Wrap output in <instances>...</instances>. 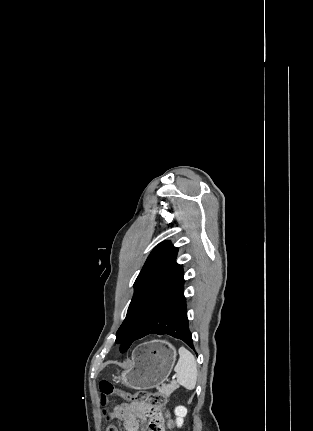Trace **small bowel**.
I'll use <instances>...</instances> for the list:
<instances>
[{"mask_svg": "<svg viewBox=\"0 0 313 431\" xmlns=\"http://www.w3.org/2000/svg\"><path fill=\"white\" fill-rule=\"evenodd\" d=\"M114 416L123 424L125 431H143L140 429L141 423L149 419V427L155 420L147 406L142 404H121L114 408Z\"/></svg>", "mask_w": 313, "mask_h": 431, "instance_id": "c3829d8e", "label": "small bowel"}]
</instances>
